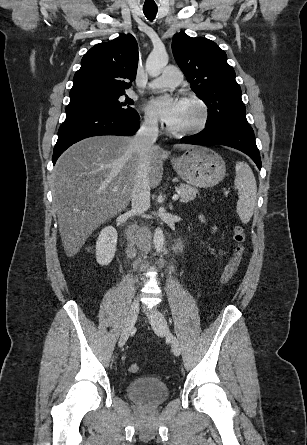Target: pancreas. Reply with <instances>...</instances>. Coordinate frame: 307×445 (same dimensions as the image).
Instances as JSON below:
<instances>
[{"label": "pancreas", "instance_id": "1", "mask_svg": "<svg viewBox=\"0 0 307 445\" xmlns=\"http://www.w3.org/2000/svg\"><path fill=\"white\" fill-rule=\"evenodd\" d=\"M179 188L182 192L180 202H188V200H194L195 196H197L199 192L196 186H190V184H184V182H181Z\"/></svg>", "mask_w": 307, "mask_h": 445}]
</instances>
